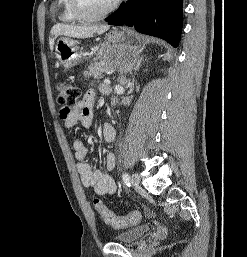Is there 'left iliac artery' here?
I'll list each match as a JSON object with an SVG mask.
<instances>
[{"label": "left iliac artery", "instance_id": "obj_1", "mask_svg": "<svg viewBox=\"0 0 247 257\" xmlns=\"http://www.w3.org/2000/svg\"><path fill=\"white\" fill-rule=\"evenodd\" d=\"M123 182L129 187L131 185L130 183V176L128 173H124L122 175Z\"/></svg>", "mask_w": 247, "mask_h": 257}]
</instances>
